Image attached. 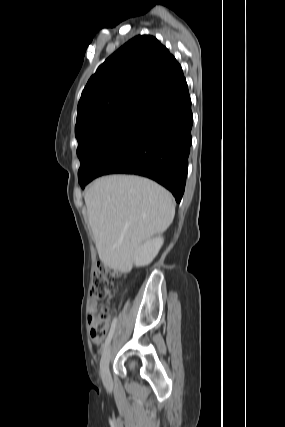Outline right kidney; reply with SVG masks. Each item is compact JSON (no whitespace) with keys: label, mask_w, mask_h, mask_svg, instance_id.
<instances>
[{"label":"right kidney","mask_w":285,"mask_h":427,"mask_svg":"<svg viewBox=\"0 0 285 427\" xmlns=\"http://www.w3.org/2000/svg\"><path fill=\"white\" fill-rule=\"evenodd\" d=\"M163 243V237L159 236L153 239H149L143 245H141L134 254V264L136 267L149 265L157 256Z\"/></svg>","instance_id":"right-kidney-1"}]
</instances>
